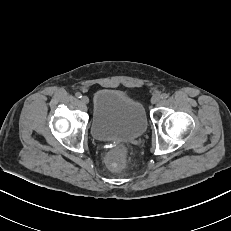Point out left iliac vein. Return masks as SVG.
<instances>
[{"label": "left iliac vein", "instance_id": "obj_1", "mask_svg": "<svg viewBox=\"0 0 231 231\" xmlns=\"http://www.w3.org/2000/svg\"><path fill=\"white\" fill-rule=\"evenodd\" d=\"M160 100H161V96L159 94H155L151 98V103L157 104L160 102Z\"/></svg>", "mask_w": 231, "mask_h": 231}]
</instances>
